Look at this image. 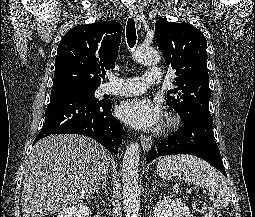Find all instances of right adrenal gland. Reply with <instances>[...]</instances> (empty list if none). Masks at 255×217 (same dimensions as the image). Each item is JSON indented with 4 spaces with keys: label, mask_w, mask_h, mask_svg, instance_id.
<instances>
[{
    "label": "right adrenal gland",
    "mask_w": 255,
    "mask_h": 217,
    "mask_svg": "<svg viewBox=\"0 0 255 217\" xmlns=\"http://www.w3.org/2000/svg\"><path fill=\"white\" fill-rule=\"evenodd\" d=\"M102 190H104V192L107 194V176L104 177V179L102 180V186L99 187Z\"/></svg>",
    "instance_id": "right-adrenal-gland-1"
}]
</instances>
